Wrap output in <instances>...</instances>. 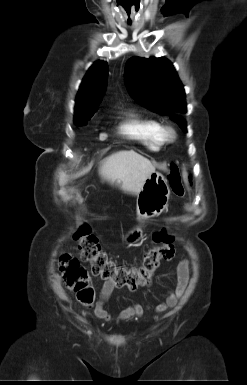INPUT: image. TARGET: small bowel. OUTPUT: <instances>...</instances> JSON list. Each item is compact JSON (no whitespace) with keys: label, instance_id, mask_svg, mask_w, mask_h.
I'll use <instances>...</instances> for the list:
<instances>
[{"label":"small bowel","instance_id":"small-bowel-1","mask_svg":"<svg viewBox=\"0 0 247 385\" xmlns=\"http://www.w3.org/2000/svg\"><path fill=\"white\" fill-rule=\"evenodd\" d=\"M177 284L174 290L167 292L165 299L155 307L157 313H163L168 310H173L179 299L185 292L189 281L190 275V264L188 260H182L179 262L177 269ZM115 286L109 281H105L103 284L99 298L93 308L94 315L97 319L103 321H109L111 316L106 310L105 305L109 298L111 297ZM144 313V307L140 304L130 305L119 313V318L121 320H129L132 318H140Z\"/></svg>","mask_w":247,"mask_h":385}]
</instances>
